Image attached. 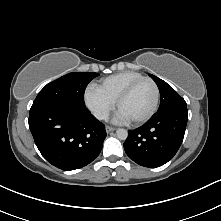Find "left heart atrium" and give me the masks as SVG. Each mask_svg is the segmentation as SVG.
Returning a JSON list of instances; mask_svg holds the SVG:
<instances>
[{
	"label": "left heart atrium",
	"instance_id": "1",
	"mask_svg": "<svg viewBox=\"0 0 221 221\" xmlns=\"http://www.w3.org/2000/svg\"><path fill=\"white\" fill-rule=\"evenodd\" d=\"M127 121H129L128 118L121 111H118L114 117V122L116 123H125Z\"/></svg>",
	"mask_w": 221,
	"mask_h": 221
}]
</instances>
